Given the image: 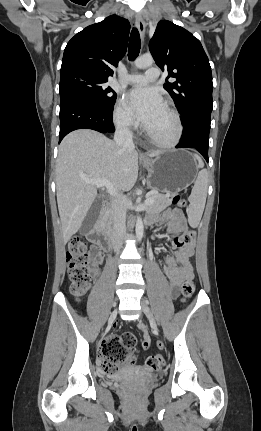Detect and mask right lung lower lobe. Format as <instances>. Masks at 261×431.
Here are the masks:
<instances>
[{"mask_svg":"<svg viewBox=\"0 0 261 431\" xmlns=\"http://www.w3.org/2000/svg\"><path fill=\"white\" fill-rule=\"evenodd\" d=\"M114 104L109 108H101L80 96L60 95L59 143L64 136L77 129H92L101 133L113 132Z\"/></svg>","mask_w":261,"mask_h":431,"instance_id":"98d812e1","label":"right lung lower lobe"}]
</instances>
